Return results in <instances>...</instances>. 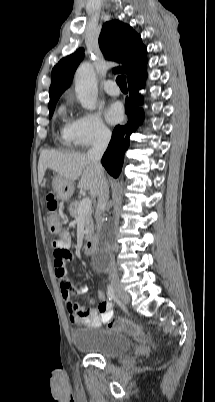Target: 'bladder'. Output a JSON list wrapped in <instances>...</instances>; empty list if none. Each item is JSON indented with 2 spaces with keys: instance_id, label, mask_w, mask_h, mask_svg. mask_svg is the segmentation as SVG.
I'll return each instance as SVG.
<instances>
[{
  "instance_id": "31cf9c89",
  "label": "bladder",
  "mask_w": 215,
  "mask_h": 402,
  "mask_svg": "<svg viewBox=\"0 0 215 402\" xmlns=\"http://www.w3.org/2000/svg\"><path fill=\"white\" fill-rule=\"evenodd\" d=\"M72 341L78 351L103 358H115L123 355L132 346L128 336L105 328L78 330L72 334Z\"/></svg>"
}]
</instances>
